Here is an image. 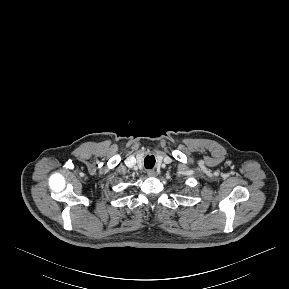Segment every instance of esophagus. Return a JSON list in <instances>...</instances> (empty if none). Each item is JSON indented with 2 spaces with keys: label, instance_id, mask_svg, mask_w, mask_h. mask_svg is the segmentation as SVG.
<instances>
[{
  "label": "esophagus",
  "instance_id": "34e87169",
  "mask_svg": "<svg viewBox=\"0 0 289 289\" xmlns=\"http://www.w3.org/2000/svg\"><path fill=\"white\" fill-rule=\"evenodd\" d=\"M147 175H148L149 177H154V176H156V172H155V170L149 169V170L147 171Z\"/></svg>",
  "mask_w": 289,
  "mask_h": 289
}]
</instances>
